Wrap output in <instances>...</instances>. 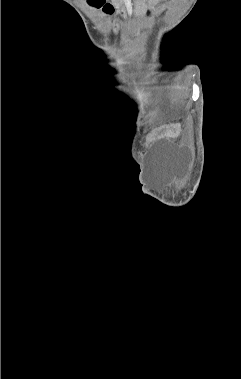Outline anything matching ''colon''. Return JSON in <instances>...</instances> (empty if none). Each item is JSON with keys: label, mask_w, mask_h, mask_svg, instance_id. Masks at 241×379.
<instances>
[{"label": "colon", "mask_w": 241, "mask_h": 379, "mask_svg": "<svg viewBox=\"0 0 241 379\" xmlns=\"http://www.w3.org/2000/svg\"><path fill=\"white\" fill-rule=\"evenodd\" d=\"M89 4L95 8H102L106 13L112 11V6L106 3V0H89Z\"/></svg>", "instance_id": "5ec220e1"}]
</instances>
